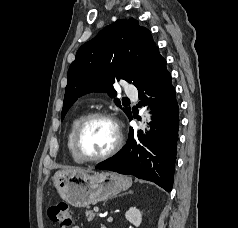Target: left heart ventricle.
<instances>
[{
	"label": "left heart ventricle",
	"mask_w": 238,
	"mask_h": 228,
	"mask_svg": "<svg viewBox=\"0 0 238 228\" xmlns=\"http://www.w3.org/2000/svg\"><path fill=\"white\" fill-rule=\"evenodd\" d=\"M116 142L115 127L109 120L94 119L85 128L80 139L84 156L95 157L106 153Z\"/></svg>",
	"instance_id": "1"
}]
</instances>
